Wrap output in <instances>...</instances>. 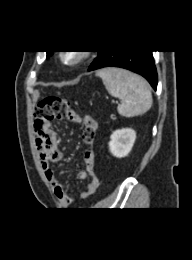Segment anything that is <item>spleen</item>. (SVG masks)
I'll return each instance as SVG.
<instances>
[{
  "label": "spleen",
  "mask_w": 192,
  "mask_h": 260,
  "mask_svg": "<svg viewBox=\"0 0 192 260\" xmlns=\"http://www.w3.org/2000/svg\"><path fill=\"white\" fill-rule=\"evenodd\" d=\"M110 95L119 98L118 113L124 117L145 114L153 99L148 82L130 71L118 68H104L96 72Z\"/></svg>",
  "instance_id": "3e777b00"
}]
</instances>
